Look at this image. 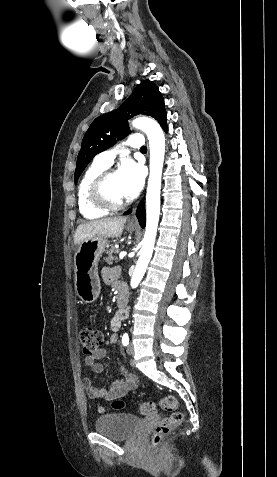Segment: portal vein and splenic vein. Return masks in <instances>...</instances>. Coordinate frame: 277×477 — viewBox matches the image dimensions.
<instances>
[{
  "instance_id": "1",
  "label": "portal vein and splenic vein",
  "mask_w": 277,
  "mask_h": 477,
  "mask_svg": "<svg viewBox=\"0 0 277 477\" xmlns=\"http://www.w3.org/2000/svg\"><path fill=\"white\" fill-rule=\"evenodd\" d=\"M126 255H127V252H126V251H121V252L119 253V258H120V259H123Z\"/></svg>"
}]
</instances>
